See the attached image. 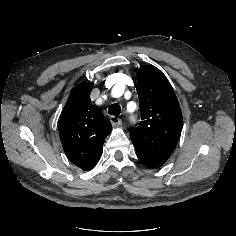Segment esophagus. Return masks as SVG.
Listing matches in <instances>:
<instances>
[{"mask_svg": "<svg viewBox=\"0 0 236 236\" xmlns=\"http://www.w3.org/2000/svg\"><path fill=\"white\" fill-rule=\"evenodd\" d=\"M110 121H111L112 125H114V126H118L121 124V119L118 118L117 116H111Z\"/></svg>", "mask_w": 236, "mask_h": 236, "instance_id": "obj_1", "label": "esophagus"}]
</instances>
